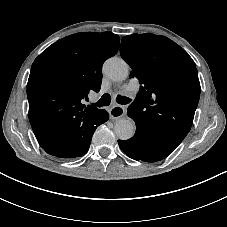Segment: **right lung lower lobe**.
Wrapping results in <instances>:
<instances>
[{"label": "right lung lower lobe", "instance_id": "98d812e1", "mask_svg": "<svg viewBox=\"0 0 227 227\" xmlns=\"http://www.w3.org/2000/svg\"><path fill=\"white\" fill-rule=\"evenodd\" d=\"M97 126L99 125H89L86 121L74 125L65 136L66 146L63 147L48 143L39 131H34V134L40 146L48 154L59 158H73L87 153Z\"/></svg>", "mask_w": 227, "mask_h": 227}]
</instances>
